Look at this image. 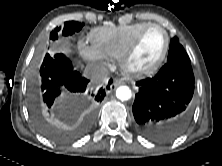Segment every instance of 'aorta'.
Returning a JSON list of instances; mask_svg holds the SVG:
<instances>
[{
  "instance_id": "762f6f07",
  "label": "aorta",
  "mask_w": 222,
  "mask_h": 166,
  "mask_svg": "<svg viewBox=\"0 0 222 166\" xmlns=\"http://www.w3.org/2000/svg\"><path fill=\"white\" fill-rule=\"evenodd\" d=\"M132 93L128 86H120L116 90V97L121 101H127L131 98Z\"/></svg>"
}]
</instances>
